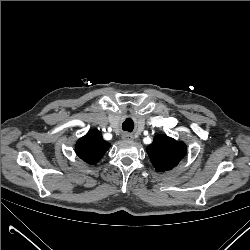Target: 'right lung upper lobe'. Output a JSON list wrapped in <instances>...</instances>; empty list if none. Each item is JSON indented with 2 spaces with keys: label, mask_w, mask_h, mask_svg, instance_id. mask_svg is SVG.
Returning a JSON list of instances; mask_svg holds the SVG:
<instances>
[{
  "label": "right lung upper lobe",
  "mask_w": 250,
  "mask_h": 250,
  "mask_svg": "<svg viewBox=\"0 0 250 250\" xmlns=\"http://www.w3.org/2000/svg\"><path fill=\"white\" fill-rule=\"evenodd\" d=\"M109 147L110 144L103 140L101 132L92 129L77 141L75 150L83 161L93 165L103 157Z\"/></svg>",
  "instance_id": "obj_1"
}]
</instances>
